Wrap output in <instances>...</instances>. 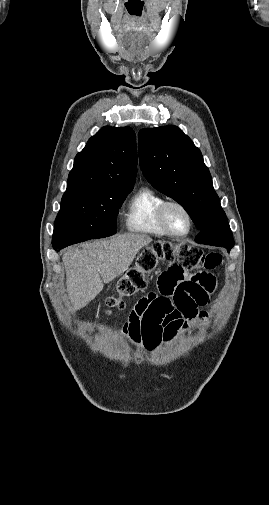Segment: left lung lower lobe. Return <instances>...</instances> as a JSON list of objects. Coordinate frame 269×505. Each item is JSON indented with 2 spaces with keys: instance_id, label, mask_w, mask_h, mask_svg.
<instances>
[{
  "instance_id": "0a47b994",
  "label": "left lung lower lobe",
  "mask_w": 269,
  "mask_h": 505,
  "mask_svg": "<svg viewBox=\"0 0 269 505\" xmlns=\"http://www.w3.org/2000/svg\"><path fill=\"white\" fill-rule=\"evenodd\" d=\"M231 248H232V247H229V248H226V249H227L228 251H230V250H231Z\"/></svg>"
}]
</instances>
